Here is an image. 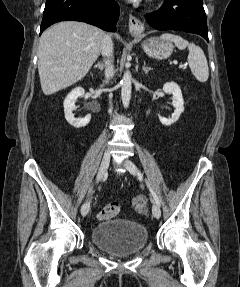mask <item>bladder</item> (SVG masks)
I'll return each instance as SVG.
<instances>
[{
	"mask_svg": "<svg viewBox=\"0 0 240 287\" xmlns=\"http://www.w3.org/2000/svg\"><path fill=\"white\" fill-rule=\"evenodd\" d=\"M90 240L101 250L116 256L134 254L148 244V229L139 222L115 219L97 224Z\"/></svg>",
	"mask_w": 240,
	"mask_h": 287,
	"instance_id": "31cf9c89",
	"label": "bladder"
}]
</instances>
